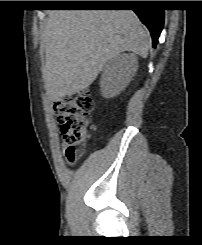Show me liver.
<instances>
[{
    "instance_id": "obj_1",
    "label": "liver",
    "mask_w": 202,
    "mask_h": 245,
    "mask_svg": "<svg viewBox=\"0 0 202 245\" xmlns=\"http://www.w3.org/2000/svg\"><path fill=\"white\" fill-rule=\"evenodd\" d=\"M43 41V77L50 100L87 89L113 57L130 51L146 58L149 32L131 10H52Z\"/></svg>"
}]
</instances>
